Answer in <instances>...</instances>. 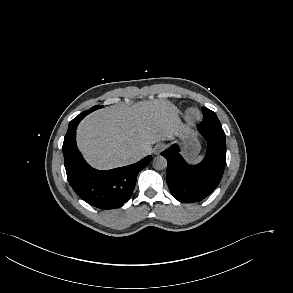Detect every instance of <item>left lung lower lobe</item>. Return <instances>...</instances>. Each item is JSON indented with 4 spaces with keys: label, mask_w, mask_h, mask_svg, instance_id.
<instances>
[{
    "label": "left lung lower lobe",
    "mask_w": 293,
    "mask_h": 293,
    "mask_svg": "<svg viewBox=\"0 0 293 293\" xmlns=\"http://www.w3.org/2000/svg\"><path fill=\"white\" fill-rule=\"evenodd\" d=\"M199 132L208 141L206 156L197 165H189L179 154L177 144L162 152L167 159L166 181L172 195L180 202H198L218 186L225 168L226 139L222 130L215 132L200 123Z\"/></svg>",
    "instance_id": "left-lung-lower-lobe-1"
}]
</instances>
